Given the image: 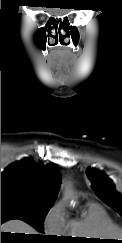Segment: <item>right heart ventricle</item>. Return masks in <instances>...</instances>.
<instances>
[{"label": "right heart ventricle", "mask_w": 122, "mask_h": 243, "mask_svg": "<svg viewBox=\"0 0 122 243\" xmlns=\"http://www.w3.org/2000/svg\"><path fill=\"white\" fill-rule=\"evenodd\" d=\"M115 227L107 211L97 203L88 204L76 218L67 221L66 235L82 239H110Z\"/></svg>", "instance_id": "1"}]
</instances>
